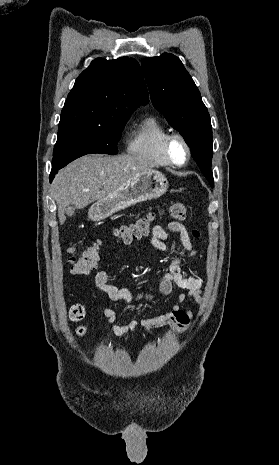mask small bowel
Here are the masks:
<instances>
[{
  "label": "small bowel",
  "instance_id": "obj_1",
  "mask_svg": "<svg viewBox=\"0 0 279 465\" xmlns=\"http://www.w3.org/2000/svg\"><path fill=\"white\" fill-rule=\"evenodd\" d=\"M168 231L179 236L183 250L187 258L194 259L201 256L199 250L195 248L191 242L189 233L186 227L177 221H172L168 224ZM168 231L161 227L155 226L151 234V243L154 247L161 251H167ZM202 285L203 280L197 276L196 271H192V275L186 276L182 270V257L179 252H175V257L169 266V271L161 278L158 293L162 296L171 294L173 287L181 289L178 302L167 309L162 314L154 317L146 318L141 321H131L124 325L111 326L113 332L122 339L142 328L146 332H150L154 328L169 326L178 334H184L190 327L193 315L190 311L184 308V303L187 299H193L196 303L202 300ZM95 286L103 294L112 301H123L126 304H135L140 301L152 300L154 295L147 291L133 292L129 288H120L115 285L108 284V274L105 271H99L95 276ZM103 314L109 323H113L116 317L115 311L110 308H105Z\"/></svg>",
  "mask_w": 279,
  "mask_h": 465
}]
</instances>
